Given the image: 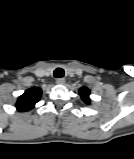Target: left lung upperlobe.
<instances>
[{"label": "left lung upper lobe", "mask_w": 134, "mask_h": 159, "mask_svg": "<svg viewBox=\"0 0 134 159\" xmlns=\"http://www.w3.org/2000/svg\"><path fill=\"white\" fill-rule=\"evenodd\" d=\"M80 94H81V97L83 99V101L86 103V104H90V98H89V94H90V91L88 88H81L79 90Z\"/></svg>", "instance_id": "1"}]
</instances>
